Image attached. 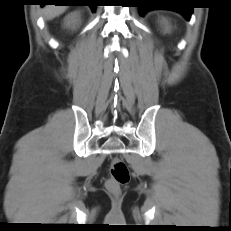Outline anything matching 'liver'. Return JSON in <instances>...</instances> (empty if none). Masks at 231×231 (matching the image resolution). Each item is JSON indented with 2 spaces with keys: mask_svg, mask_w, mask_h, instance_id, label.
<instances>
[{
  "mask_svg": "<svg viewBox=\"0 0 231 231\" xmlns=\"http://www.w3.org/2000/svg\"><path fill=\"white\" fill-rule=\"evenodd\" d=\"M67 10L66 6L47 5L44 7L43 12L47 19H53Z\"/></svg>",
  "mask_w": 231,
  "mask_h": 231,
  "instance_id": "6515ba94",
  "label": "liver"
}]
</instances>
